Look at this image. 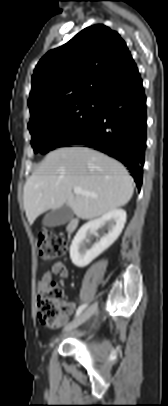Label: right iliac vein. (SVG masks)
I'll list each match as a JSON object with an SVG mask.
<instances>
[{
    "label": "right iliac vein",
    "mask_w": 168,
    "mask_h": 406,
    "mask_svg": "<svg viewBox=\"0 0 168 406\" xmlns=\"http://www.w3.org/2000/svg\"><path fill=\"white\" fill-rule=\"evenodd\" d=\"M97 309L98 303L96 302L92 306H90L87 310H85L74 322L67 325L64 328L63 332L67 333L79 327L81 324L87 321L97 311Z\"/></svg>",
    "instance_id": "right-iliac-vein-1"
}]
</instances>
